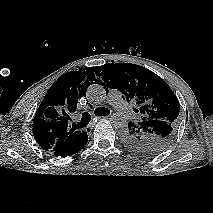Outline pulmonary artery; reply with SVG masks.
Returning <instances> with one entry per match:
<instances>
[{
  "label": "pulmonary artery",
  "instance_id": "pulmonary-artery-1",
  "mask_svg": "<svg viewBox=\"0 0 213 213\" xmlns=\"http://www.w3.org/2000/svg\"><path fill=\"white\" fill-rule=\"evenodd\" d=\"M108 102L124 117H131L133 115L128 104L122 98V94L118 89H111L108 92Z\"/></svg>",
  "mask_w": 213,
  "mask_h": 213
}]
</instances>
